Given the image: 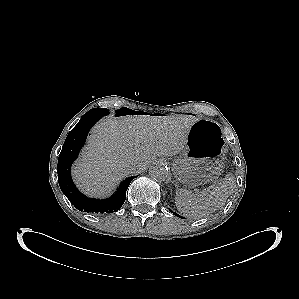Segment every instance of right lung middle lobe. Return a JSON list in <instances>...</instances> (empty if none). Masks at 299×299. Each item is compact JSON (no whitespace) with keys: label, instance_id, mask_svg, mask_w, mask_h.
I'll list each match as a JSON object with an SVG mask.
<instances>
[{"label":"right lung middle lobe","instance_id":"obj_1","mask_svg":"<svg viewBox=\"0 0 299 299\" xmlns=\"http://www.w3.org/2000/svg\"><path fill=\"white\" fill-rule=\"evenodd\" d=\"M108 114H109V112L106 108H93V109L89 110L87 113H85L82 117H89V116H94V115L105 116Z\"/></svg>","mask_w":299,"mask_h":299}]
</instances>
